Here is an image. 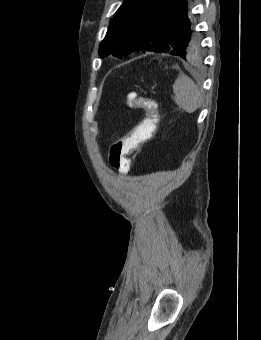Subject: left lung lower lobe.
Instances as JSON below:
<instances>
[{
    "label": "left lung lower lobe",
    "mask_w": 261,
    "mask_h": 340,
    "mask_svg": "<svg viewBox=\"0 0 261 340\" xmlns=\"http://www.w3.org/2000/svg\"><path fill=\"white\" fill-rule=\"evenodd\" d=\"M190 9L187 0H166L161 8V12L167 13V18L171 20H178L184 16ZM191 10V9H190ZM159 52L166 53V51L160 50Z\"/></svg>",
    "instance_id": "0a47b994"
}]
</instances>
